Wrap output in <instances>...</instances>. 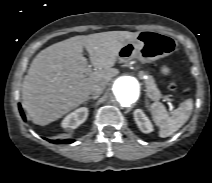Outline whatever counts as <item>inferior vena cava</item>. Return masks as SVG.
Wrapping results in <instances>:
<instances>
[{"label": "inferior vena cava", "mask_w": 212, "mask_h": 183, "mask_svg": "<svg viewBox=\"0 0 212 183\" xmlns=\"http://www.w3.org/2000/svg\"><path fill=\"white\" fill-rule=\"evenodd\" d=\"M104 88H105V84H103V83L95 84V85L92 86L90 92H91V94H93L95 96L96 95L99 96L103 92Z\"/></svg>", "instance_id": "602c4592"}]
</instances>
